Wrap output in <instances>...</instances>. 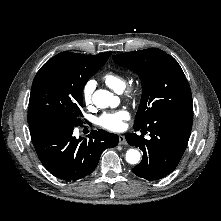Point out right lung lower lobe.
Returning a JSON list of instances; mask_svg holds the SVG:
<instances>
[{
	"label": "right lung lower lobe",
	"mask_w": 221,
	"mask_h": 221,
	"mask_svg": "<svg viewBox=\"0 0 221 221\" xmlns=\"http://www.w3.org/2000/svg\"><path fill=\"white\" fill-rule=\"evenodd\" d=\"M74 127L42 121L30 127L31 139L43 166L62 180H78L91 174L101 153L117 146L116 134L99 129L89 139L73 135Z\"/></svg>",
	"instance_id": "obj_1"
}]
</instances>
